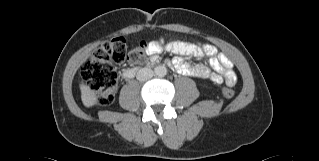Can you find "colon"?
I'll use <instances>...</instances> for the list:
<instances>
[{
	"label": "colon",
	"instance_id": "5ec220e1",
	"mask_svg": "<svg viewBox=\"0 0 319 161\" xmlns=\"http://www.w3.org/2000/svg\"><path fill=\"white\" fill-rule=\"evenodd\" d=\"M148 54V45L141 44L129 52L126 39L121 36L114 37L104 42L84 61L81 68L83 82L97 95L99 103L108 105L115 98L118 84L114 65L126 61L141 63ZM222 93L231 98L235 91L233 86L226 85L222 88Z\"/></svg>",
	"mask_w": 319,
	"mask_h": 161
}]
</instances>
